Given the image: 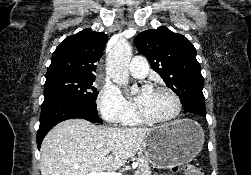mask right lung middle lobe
Instances as JSON below:
<instances>
[{
    "instance_id": "obj_1",
    "label": "right lung middle lobe",
    "mask_w": 251,
    "mask_h": 175,
    "mask_svg": "<svg viewBox=\"0 0 251 175\" xmlns=\"http://www.w3.org/2000/svg\"><path fill=\"white\" fill-rule=\"evenodd\" d=\"M94 81L95 77H46L44 96L57 95L87 103L95 102L99 92L92 86Z\"/></svg>"
}]
</instances>
